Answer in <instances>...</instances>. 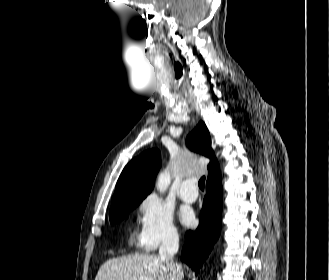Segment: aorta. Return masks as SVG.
<instances>
[{
    "label": "aorta",
    "instance_id": "762f6f07",
    "mask_svg": "<svg viewBox=\"0 0 329 280\" xmlns=\"http://www.w3.org/2000/svg\"><path fill=\"white\" fill-rule=\"evenodd\" d=\"M171 183V174L169 170H164L158 175L157 190L160 193H164Z\"/></svg>",
    "mask_w": 329,
    "mask_h": 280
}]
</instances>
